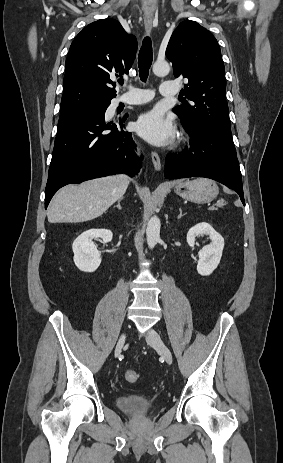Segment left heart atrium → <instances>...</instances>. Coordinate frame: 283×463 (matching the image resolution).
I'll list each match as a JSON object with an SVG mask.
<instances>
[{"label":"left heart atrium","instance_id":"obj_1","mask_svg":"<svg viewBox=\"0 0 283 463\" xmlns=\"http://www.w3.org/2000/svg\"><path fill=\"white\" fill-rule=\"evenodd\" d=\"M136 130L148 142L155 145H165L174 137L172 122L158 110H151L137 121Z\"/></svg>","mask_w":283,"mask_h":463}]
</instances>
